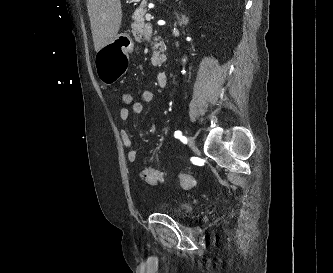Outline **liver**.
I'll return each instance as SVG.
<instances>
[{"label": "liver", "instance_id": "liver-1", "mask_svg": "<svg viewBox=\"0 0 333 273\" xmlns=\"http://www.w3.org/2000/svg\"><path fill=\"white\" fill-rule=\"evenodd\" d=\"M95 51L112 42L122 21L120 0H87Z\"/></svg>", "mask_w": 333, "mask_h": 273}]
</instances>
